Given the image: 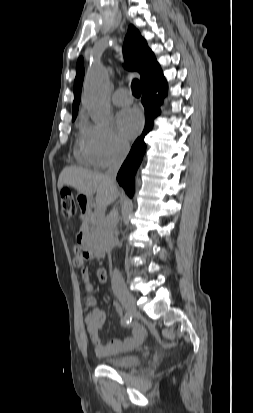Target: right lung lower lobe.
<instances>
[{"label":"right lung lower lobe","instance_id":"1","mask_svg":"<svg viewBox=\"0 0 253 413\" xmlns=\"http://www.w3.org/2000/svg\"><path fill=\"white\" fill-rule=\"evenodd\" d=\"M142 104L145 108V127L140 137L134 142L129 155L121 166L117 180L127 194L133 195V180L146 150L145 135L152 130L153 120L160 114V105L166 95L167 82L163 74L147 80L143 85ZM156 92H159L156 95Z\"/></svg>","mask_w":253,"mask_h":413}]
</instances>
